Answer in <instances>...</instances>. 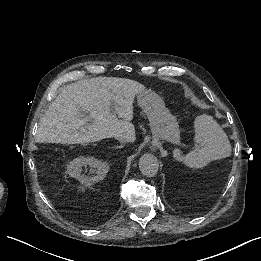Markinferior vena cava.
I'll use <instances>...</instances> for the list:
<instances>
[{
	"mask_svg": "<svg viewBox=\"0 0 261 261\" xmlns=\"http://www.w3.org/2000/svg\"><path fill=\"white\" fill-rule=\"evenodd\" d=\"M120 142H126V140L125 139H123V140H121V139H118Z\"/></svg>",
	"mask_w": 261,
	"mask_h": 261,
	"instance_id": "inferior-vena-cava-1",
	"label": "inferior vena cava"
}]
</instances>
